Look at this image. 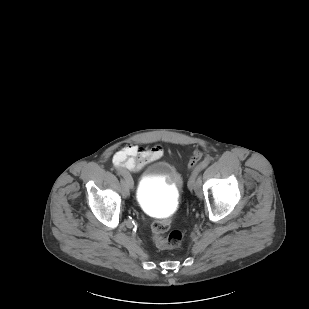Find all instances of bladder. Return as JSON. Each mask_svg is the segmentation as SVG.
I'll list each match as a JSON object with an SVG mask.
<instances>
[{
    "instance_id": "31cf9c89",
    "label": "bladder",
    "mask_w": 309,
    "mask_h": 309,
    "mask_svg": "<svg viewBox=\"0 0 309 309\" xmlns=\"http://www.w3.org/2000/svg\"><path fill=\"white\" fill-rule=\"evenodd\" d=\"M182 177L176 167L164 160L147 164L136 189L139 206L150 213L170 218L178 201Z\"/></svg>"
}]
</instances>
